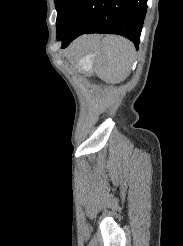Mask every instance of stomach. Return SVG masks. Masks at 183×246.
<instances>
[{"mask_svg":"<svg viewBox=\"0 0 183 246\" xmlns=\"http://www.w3.org/2000/svg\"><path fill=\"white\" fill-rule=\"evenodd\" d=\"M94 57L95 54L92 53H87L84 56H82L78 62L79 68L83 70H84V66L91 68L93 65Z\"/></svg>","mask_w":183,"mask_h":246,"instance_id":"0dacf381","label":"stomach"}]
</instances>
